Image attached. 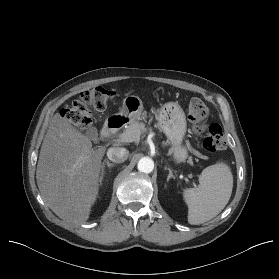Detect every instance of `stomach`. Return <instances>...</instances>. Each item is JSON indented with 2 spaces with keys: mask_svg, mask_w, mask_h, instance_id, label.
I'll return each instance as SVG.
<instances>
[{
  "mask_svg": "<svg viewBox=\"0 0 279 279\" xmlns=\"http://www.w3.org/2000/svg\"><path fill=\"white\" fill-rule=\"evenodd\" d=\"M142 111V100L131 95L123 100L119 116L133 123L141 117ZM157 120L172 146L170 151L174 159L177 162L184 161L187 158V150L182 147V140L186 133L187 123L183 109L176 102L165 103L158 111Z\"/></svg>",
  "mask_w": 279,
  "mask_h": 279,
  "instance_id": "obj_1",
  "label": "stomach"
}]
</instances>
